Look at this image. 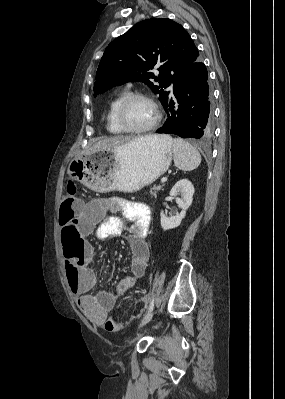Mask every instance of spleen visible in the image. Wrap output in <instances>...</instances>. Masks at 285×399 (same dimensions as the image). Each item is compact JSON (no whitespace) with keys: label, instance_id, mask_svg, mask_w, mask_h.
<instances>
[{"label":"spleen","instance_id":"3e777b00","mask_svg":"<svg viewBox=\"0 0 285 399\" xmlns=\"http://www.w3.org/2000/svg\"><path fill=\"white\" fill-rule=\"evenodd\" d=\"M174 156V164L183 171H192L201 163L198 150L181 138H170Z\"/></svg>","mask_w":285,"mask_h":399}]
</instances>
